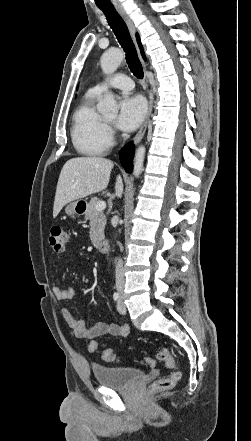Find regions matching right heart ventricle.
<instances>
[{
    "mask_svg": "<svg viewBox=\"0 0 251 441\" xmlns=\"http://www.w3.org/2000/svg\"><path fill=\"white\" fill-rule=\"evenodd\" d=\"M99 96L92 89L73 114L71 139L75 149L82 155H102L110 147V136L104 118L95 108V100Z\"/></svg>",
    "mask_w": 251,
    "mask_h": 441,
    "instance_id": "e07e8e85",
    "label": "right heart ventricle"
}]
</instances>
